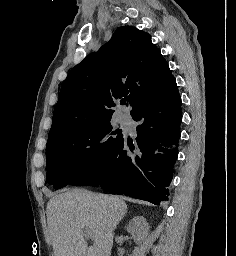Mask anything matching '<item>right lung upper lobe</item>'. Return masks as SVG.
I'll use <instances>...</instances> for the list:
<instances>
[{"label": "right lung upper lobe", "mask_w": 236, "mask_h": 256, "mask_svg": "<svg viewBox=\"0 0 236 256\" xmlns=\"http://www.w3.org/2000/svg\"><path fill=\"white\" fill-rule=\"evenodd\" d=\"M174 82L150 35L132 26L119 27L108 43L70 71L60 90L48 138L111 119L122 97L129 99L132 114Z\"/></svg>", "instance_id": "obj_1"}]
</instances>
